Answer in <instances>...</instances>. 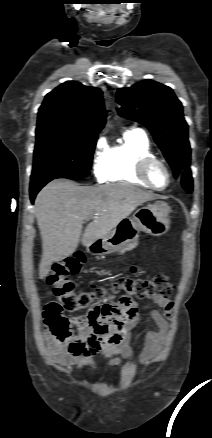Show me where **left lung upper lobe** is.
I'll return each instance as SVG.
<instances>
[{"mask_svg":"<svg viewBox=\"0 0 212 438\" xmlns=\"http://www.w3.org/2000/svg\"><path fill=\"white\" fill-rule=\"evenodd\" d=\"M121 117L145 125L154 136L173 169L175 178L190 167L188 125L181 102L172 89L152 80H143L117 91Z\"/></svg>","mask_w":212,"mask_h":438,"instance_id":"1","label":"left lung upper lobe"}]
</instances>
